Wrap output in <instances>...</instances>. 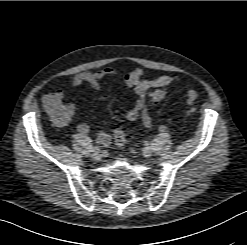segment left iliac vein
<instances>
[{"label":"left iliac vein","instance_id":"obj_1","mask_svg":"<svg viewBox=\"0 0 247 245\" xmlns=\"http://www.w3.org/2000/svg\"><path fill=\"white\" fill-rule=\"evenodd\" d=\"M152 152H153V150L151 147H145L143 149V156L146 158H149L152 155Z\"/></svg>","mask_w":247,"mask_h":245}]
</instances>
